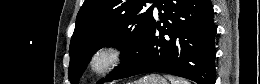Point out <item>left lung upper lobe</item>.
Returning a JSON list of instances; mask_svg holds the SVG:
<instances>
[{
	"label": "left lung upper lobe",
	"mask_w": 260,
	"mask_h": 84,
	"mask_svg": "<svg viewBox=\"0 0 260 84\" xmlns=\"http://www.w3.org/2000/svg\"><path fill=\"white\" fill-rule=\"evenodd\" d=\"M154 0H85L76 18L70 43L69 80L76 84L93 53L103 46L122 51L121 64L107 76L111 81L137 56L153 20Z\"/></svg>",
	"instance_id": "obj_1"
}]
</instances>
